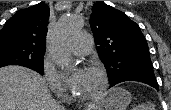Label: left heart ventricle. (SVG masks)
I'll return each instance as SVG.
<instances>
[{
  "instance_id": "left-heart-ventricle-1",
  "label": "left heart ventricle",
  "mask_w": 171,
  "mask_h": 110,
  "mask_svg": "<svg viewBox=\"0 0 171 110\" xmlns=\"http://www.w3.org/2000/svg\"><path fill=\"white\" fill-rule=\"evenodd\" d=\"M101 85V79L97 72L87 69L73 92L78 96H88L95 93Z\"/></svg>"
}]
</instances>
